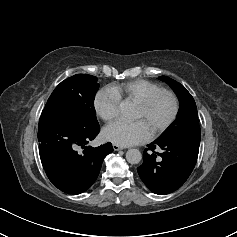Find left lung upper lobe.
I'll return each instance as SVG.
<instances>
[{
    "label": "left lung upper lobe",
    "instance_id": "left-lung-upper-lobe-1",
    "mask_svg": "<svg viewBox=\"0 0 237 237\" xmlns=\"http://www.w3.org/2000/svg\"><path fill=\"white\" fill-rule=\"evenodd\" d=\"M160 79L169 84L174 90L178 97L180 108L175 121L171 123L157 140L200 139L201 130L193 97L182 84L175 80L167 76H161Z\"/></svg>",
    "mask_w": 237,
    "mask_h": 237
}]
</instances>
